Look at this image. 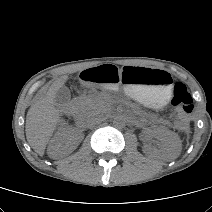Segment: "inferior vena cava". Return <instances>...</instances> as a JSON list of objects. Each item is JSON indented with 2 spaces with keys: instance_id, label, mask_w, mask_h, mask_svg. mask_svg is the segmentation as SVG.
<instances>
[{
  "instance_id": "1",
  "label": "inferior vena cava",
  "mask_w": 212,
  "mask_h": 212,
  "mask_svg": "<svg viewBox=\"0 0 212 212\" xmlns=\"http://www.w3.org/2000/svg\"><path fill=\"white\" fill-rule=\"evenodd\" d=\"M102 120V116L96 115L94 113H89L88 116L85 117V123L87 125H96L99 124Z\"/></svg>"
}]
</instances>
